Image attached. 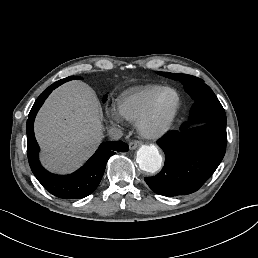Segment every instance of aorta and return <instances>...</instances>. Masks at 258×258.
Returning a JSON list of instances; mask_svg holds the SVG:
<instances>
[{"label":"aorta","mask_w":258,"mask_h":258,"mask_svg":"<svg viewBox=\"0 0 258 258\" xmlns=\"http://www.w3.org/2000/svg\"><path fill=\"white\" fill-rule=\"evenodd\" d=\"M136 161L141 170L155 173L161 168L163 158L154 145H144L137 151Z\"/></svg>","instance_id":"obj_1"}]
</instances>
